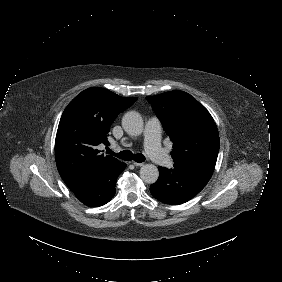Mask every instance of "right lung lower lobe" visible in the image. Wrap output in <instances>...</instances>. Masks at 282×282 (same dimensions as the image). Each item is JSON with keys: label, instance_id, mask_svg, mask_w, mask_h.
Masks as SVG:
<instances>
[{"label": "right lung lower lobe", "instance_id": "obj_1", "mask_svg": "<svg viewBox=\"0 0 282 282\" xmlns=\"http://www.w3.org/2000/svg\"><path fill=\"white\" fill-rule=\"evenodd\" d=\"M126 164L121 163L117 167L97 173L77 191L76 197L89 207H97L109 202L115 195V184L119 174L125 169Z\"/></svg>", "mask_w": 282, "mask_h": 282}]
</instances>
